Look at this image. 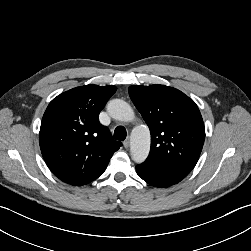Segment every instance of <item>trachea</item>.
Here are the masks:
<instances>
[{"instance_id":"obj_1","label":"trachea","mask_w":251,"mask_h":251,"mask_svg":"<svg viewBox=\"0 0 251 251\" xmlns=\"http://www.w3.org/2000/svg\"><path fill=\"white\" fill-rule=\"evenodd\" d=\"M127 136V132H126V129L123 127V126H118L115 128L114 130V138L116 140H125Z\"/></svg>"}]
</instances>
